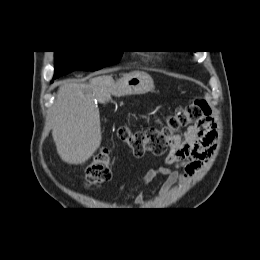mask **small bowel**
I'll use <instances>...</instances> for the list:
<instances>
[{
    "label": "small bowel",
    "mask_w": 260,
    "mask_h": 260,
    "mask_svg": "<svg viewBox=\"0 0 260 260\" xmlns=\"http://www.w3.org/2000/svg\"><path fill=\"white\" fill-rule=\"evenodd\" d=\"M155 122L160 124L158 118ZM216 137V126L210 118L188 127L182 136L175 137L165 165L151 168L145 173L141 181L142 186L151 183L158 176H165L166 180L161 187V192H165L173 184L192 176L213 154ZM124 188L125 185H121L119 191ZM143 202L142 194H138L135 204L141 205Z\"/></svg>",
    "instance_id": "1"
}]
</instances>
